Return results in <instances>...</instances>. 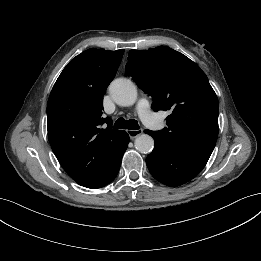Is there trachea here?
Masks as SVG:
<instances>
[{
  "label": "trachea",
  "mask_w": 261,
  "mask_h": 261,
  "mask_svg": "<svg viewBox=\"0 0 261 261\" xmlns=\"http://www.w3.org/2000/svg\"><path fill=\"white\" fill-rule=\"evenodd\" d=\"M115 129H130V130H137L139 129L138 122L134 119L125 120L124 118H119L115 124Z\"/></svg>",
  "instance_id": "1"
}]
</instances>
